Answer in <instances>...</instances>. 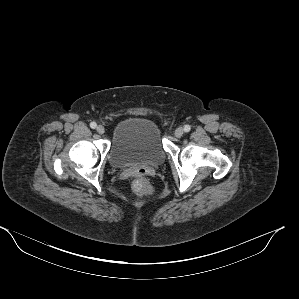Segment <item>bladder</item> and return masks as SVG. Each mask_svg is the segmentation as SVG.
Listing matches in <instances>:
<instances>
[{"mask_svg":"<svg viewBox=\"0 0 299 299\" xmlns=\"http://www.w3.org/2000/svg\"><path fill=\"white\" fill-rule=\"evenodd\" d=\"M165 149L158 125L145 117H128L113 129L108 152L112 167L157 166L165 159Z\"/></svg>","mask_w":299,"mask_h":299,"instance_id":"31cf9c89","label":"bladder"}]
</instances>
